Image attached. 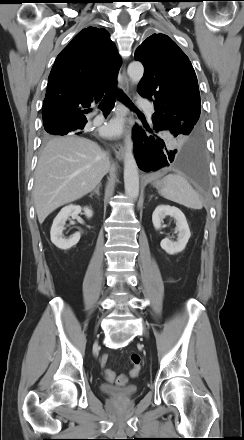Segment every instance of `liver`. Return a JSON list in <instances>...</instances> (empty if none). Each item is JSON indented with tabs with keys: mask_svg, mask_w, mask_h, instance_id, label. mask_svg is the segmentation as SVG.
Masks as SVG:
<instances>
[{
	"mask_svg": "<svg viewBox=\"0 0 244 440\" xmlns=\"http://www.w3.org/2000/svg\"><path fill=\"white\" fill-rule=\"evenodd\" d=\"M110 168L99 145L89 139L55 137L43 149L35 170L33 199L39 223L58 207L82 198Z\"/></svg>",
	"mask_w": 244,
	"mask_h": 440,
	"instance_id": "6515ba94",
	"label": "liver"
}]
</instances>
